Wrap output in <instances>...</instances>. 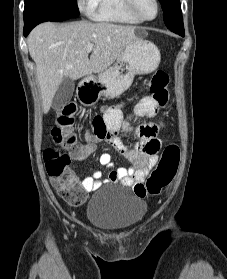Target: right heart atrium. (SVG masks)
Here are the masks:
<instances>
[{
  "mask_svg": "<svg viewBox=\"0 0 227 279\" xmlns=\"http://www.w3.org/2000/svg\"><path fill=\"white\" fill-rule=\"evenodd\" d=\"M85 1H87V2H85ZM79 4H80V6L88 7V5H89V0H79Z\"/></svg>",
  "mask_w": 227,
  "mask_h": 279,
  "instance_id": "1",
  "label": "right heart atrium"
}]
</instances>
